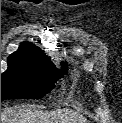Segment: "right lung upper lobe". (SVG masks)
I'll return each instance as SVG.
<instances>
[{"label": "right lung upper lobe", "instance_id": "obj_1", "mask_svg": "<svg viewBox=\"0 0 122 123\" xmlns=\"http://www.w3.org/2000/svg\"><path fill=\"white\" fill-rule=\"evenodd\" d=\"M7 62H17L42 68L55 67L51 58L43 50L29 42H23L19 49L8 57Z\"/></svg>", "mask_w": 122, "mask_h": 123}]
</instances>
